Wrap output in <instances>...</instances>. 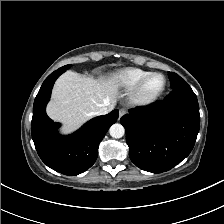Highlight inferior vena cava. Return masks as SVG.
Masks as SVG:
<instances>
[{
    "instance_id": "obj_1",
    "label": "inferior vena cava",
    "mask_w": 224,
    "mask_h": 224,
    "mask_svg": "<svg viewBox=\"0 0 224 224\" xmlns=\"http://www.w3.org/2000/svg\"><path fill=\"white\" fill-rule=\"evenodd\" d=\"M110 110H111L110 107L103 106L95 114L96 115H105V114L109 113Z\"/></svg>"
}]
</instances>
